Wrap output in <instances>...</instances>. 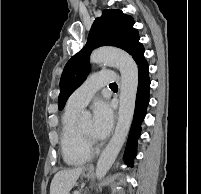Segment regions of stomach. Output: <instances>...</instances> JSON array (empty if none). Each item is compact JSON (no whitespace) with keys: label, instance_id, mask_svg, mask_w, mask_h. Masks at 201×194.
Instances as JSON below:
<instances>
[{"label":"stomach","instance_id":"0dacf381","mask_svg":"<svg viewBox=\"0 0 201 194\" xmlns=\"http://www.w3.org/2000/svg\"><path fill=\"white\" fill-rule=\"evenodd\" d=\"M93 175V169L92 167H85L84 171H83V176L90 178Z\"/></svg>","mask_w":201,"mask_h":194}]
</instances>
